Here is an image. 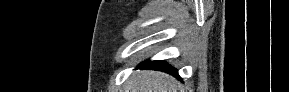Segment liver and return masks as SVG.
<instances>
[{
    "label": "liver",
    "mask_w": 289,
    "mask_h": 92,
    "mask_svg": "<svg viewBox=\"0 0 289 92\" xmlns=\"http://www.w3.org/2000/svg\"><path fill=\"white\" fill-rule=\"evenodd\" d=\"M179 83L165 73L157 71H137L124 86L125 92H177Z\"/></svg>",
    "instance_id": "6515ba94"
}]
</instances>
